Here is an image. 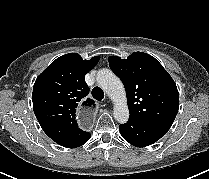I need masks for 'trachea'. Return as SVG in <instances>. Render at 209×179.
<instances>
[{"label": "trachea", "mask_w": 209, "mask_h": 179, "mask_svg": "<svg viewBox=\"0 0 209 179\" xmlns=\"http://www.w3.org/2000/svg\"><path fill=\"white\" fill-rule=\"evenodd\" d=\"M92 95L98 101H101L104 98V93L99 87H94L92 89Z\"/></svg>", "instance_id": "3493384b"}]
</instances>
